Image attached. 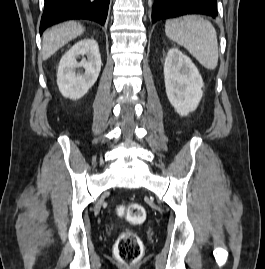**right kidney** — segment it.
I'll use <instances>...</instances> for the list:
<instances>
[{
	"mask_svg": "<svg viewBox=\"0 0 265 269\" xmlns=\"http://www.w3.org/2000/svg\"><path fill=\"white\" fill-rule=\"evenodd\" d=\"M82 56L80 62L77 58ZM86 56V58L84 57ZM101 56L94 39H83L73 45L61 58L57 84L64 97L77 100L83 97L96 82L101 70ZM82 67L85 72H77Z\"/></svg>",
	"mask_w": 265,
	"mask_h": 269,
	"instance_id": "right-kidney-1",
	"label": "right kidney"
}]
</instances>
